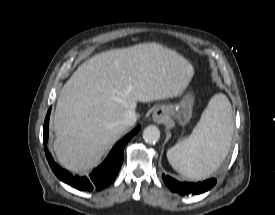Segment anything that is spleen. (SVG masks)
Masks as SVG:
<instances>
[{
  "label": "spleen",
  "mask_w": 275,
  "mask_h": 215,
  "mask_svg": "<svg viewBox=\"0 0 275 215\" xmlns=\"http://www.w3.org/2000/svg\"><path fill=\"white\" fill-rule=\"evenodd\" d=\"M233 130L229 100L223 94L214 95L192 134L167 151L169 163L191 179L210 176L226 158Z\"/></svg>",
  "instance_id": "obj_1"
}]
</instances>
